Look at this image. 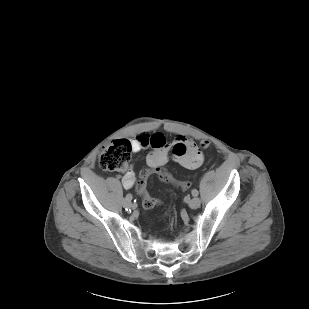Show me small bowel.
<instances>
[{"label":"small bowel","mask_w":309,"mask_h":309,"mask_svg":"<svg viewBox=\"0 0 309 309\" xmlns=\"http://www.w3.org/2000/svg\"><path fill=\"white\" fill-rule=\"evenodd\" d=\"M132 149L134 152H139L145 148H152V152L147 156V164L151 168H156L165 164L171 159L176 164L186 168H198L203 160L204 155L201 146L197 145L193 140L184 135H177L169 145L166 137L161 132H142L132 139ZM136 180V175L133 169H128L123 177L122 183L125 188L133 187Z\"/></svg>","instance_id":"c3829d8e"}]
</instances>
